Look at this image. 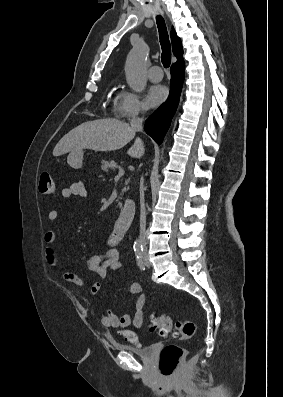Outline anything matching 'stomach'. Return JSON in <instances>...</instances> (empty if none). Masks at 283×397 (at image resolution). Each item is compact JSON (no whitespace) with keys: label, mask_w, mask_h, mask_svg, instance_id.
Segmentation results:
<instances>
[{"label":"stomach","mask_w":283,"mask_h":397,"mask_svg":"<svg viewBox=\"0 0 283 397\" xmlns=\"http://www.w3.org/2000/svg\"><path fill=\"white\" fill-rule=\"evenodd\" d=\"M83 154V150L71 151L67 157L68 164L74 169L81 168Z\"/></svg>","instance_id":"stomach-1"}]
</instances>
